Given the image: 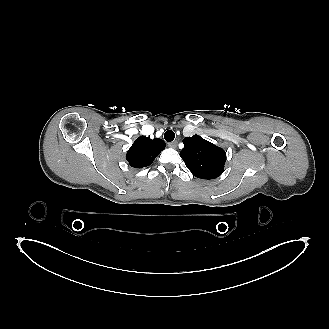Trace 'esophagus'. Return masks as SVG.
<instances>
[{"label":"esophagus","mask_w":329,"mask_h":329,"mask_svg":"<svg viewBox=\"0 0 329 329\" xmlns=\"http://www.w3.org/2000/svg\"><path fill=\"white\" fill-rule=\"evenodd\" d=\"M168 146L170 147V148H176L177 147V142L176 141H173V142H169L168 143Z\"/></svg>","instance_id":"1"}]
</instances>
